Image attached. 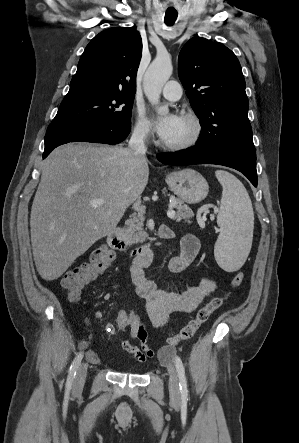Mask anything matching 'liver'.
<instances>
[{
	"mask_svg": "<svg viewBox=\"0 0 299 443\" xmlns=\"http://www.w3.org/2000/svg\"><path fill=\"white\" fill-rule=\"evenodd\" d=\"M147 159L121 146L69 143L43 162L30 215L35 265L47 281L59 278L117 226L144 191ZM103 199L101 206L90 202Z\"/></svg>",
	"mask_w": 299,
	"mask_h": 443,
	"instance_id": "obj_1",
	"label": "liver"
}]
</instances>
